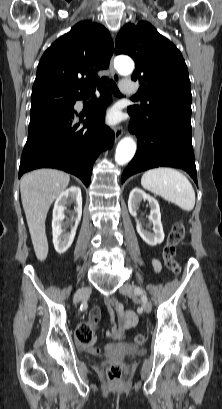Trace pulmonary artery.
Wrapping results in <instances>:
<instances>
[{"label": "pulmonary artery", "instance_id": "1", "mask_svg": "<svg viewBox=\"0 0 222 409\" xmlns=\"http://www.w3.org/2000/svg\"><path fill=\"white\" fill-rule=\"evenodd\" d=\"M121 90L124 94H134L137 91V88L134 84H120Z\"/></svg>", "mask_w": 222, "mask_h": 409}]
</instances>
